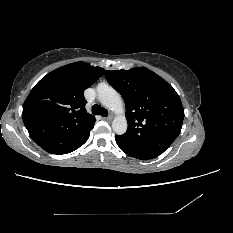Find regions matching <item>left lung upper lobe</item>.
<instances>
[{
  "label": "left lung upper lobe",
  "mask_w": 233,
  "mask_h": 233,
  "mask_svg": "<svg viewBox=\"0 0 233 233\" xmlns=\"http://www.w3.org/2000/svg\"><path fill=\"white\" fill-rule=\"evenodd\" d=\"M105 76L126 105L128 130L118 136L139 151L162 154L182 128L184 109L177 92L145 67L107 70Z\"/></svg>",
  "instance_id": "1"
}]
</instances>
